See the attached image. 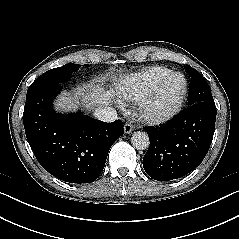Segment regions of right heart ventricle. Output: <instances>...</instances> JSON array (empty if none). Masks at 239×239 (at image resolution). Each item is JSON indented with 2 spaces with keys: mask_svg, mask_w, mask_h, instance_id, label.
<instances>
[{
  "mask_svg": "<svg viewBox=\"0 0 239 239\" xmlns=\"http://www.w3.org/2000/svg\"><path fill=\"white\" fill-rule=\"evenodd\" d=\"M171 70L162 66H149L126 75L116 85V94L122 102H137L152 84Z\"/></svg>",
  "mask_w": 239,
  "mask_h": 239,
  "instance_id": "obj_1",
  "label": "right heart ventricle"
}]
</instances>
